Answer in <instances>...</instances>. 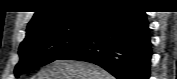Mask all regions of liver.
<instances>
[{
	"label": "liver",
	"mask_w": 177,
	"mask_h": 79,
	"mask_svg": "<svg viewBox=\"0 0 177 79\" xmlns=\"http://www.w3.org/2000/svg\"><path fill=\"white\" fill-rule=\"evenodd\" d=\"M34 79H113L101 67L78 60H56L42 68Z\"/></svg>",
	"instance_id": "obj_1"
}]
</instances>
